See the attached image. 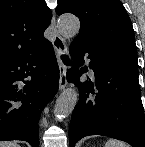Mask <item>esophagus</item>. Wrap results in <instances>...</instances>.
<instances>
[{
  "label": "esophagus",
  "mask_w": 145,
  "mask_h": 147,
  "mask_svg": "<svg viewBox=\"0 0 145 147\" xmlns=\"http://www.w3.org/2000/svg\"><path fill=\"white\" fill-rule=\"evenodd\" d=\"M50 29L52 32V44L58 56V65L60 70L59 90L62 91L67 86L66 66L61 60V56L67 53V46L64 39L59 35L56 26V17L53 15Z\"/></svg>",
  "instance_id": "obj_1"
}]
</instances>
